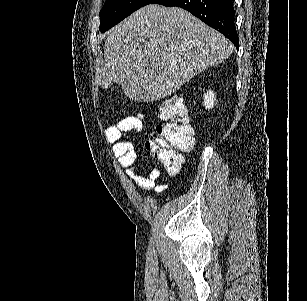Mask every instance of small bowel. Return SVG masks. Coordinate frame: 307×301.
<instances>
[{
	"label": "small bowel",
	"instance_id": "obj_1",
	"mask_svg": "<svg viewBox=\"0 0 307 301\" xmlns=\"http://www.w3.org/2000/svg\"><path fill=\"white\" fill-rule=\"evenodd\" d=\"M142 120L139 116H131L109 126L106 131V139L111 144L112 152L118 158L120 166L129 172L132 181L143 191L153 190L156 194H161L166 189L163 184H156L160 177V170L154 169L147 175H141L136 172L137 155L133 144L130 141L122 139L123 133L127 131H140Z\"/></svg>",
	"mask_w": 307,
	"mask_h": 301
}]
</instances>
